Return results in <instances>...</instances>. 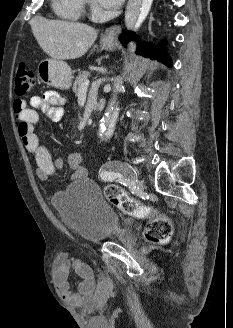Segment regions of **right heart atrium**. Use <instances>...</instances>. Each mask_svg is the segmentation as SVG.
<instances>
[{
  "label": "right heart atrium",
  "instance_id": "right-heart-atrium-1",
  "mask_svg": "<svg viewBox=\"0 0 233 328\" xmlns=\"http://www.w3.org/2000/svg\"><path fill=\"white\" fill-rule=\"evenodd\" d=\"M84 5L90 6L91 5V1L90 0H82Z\"/></svg>",
  "mask_w": 233,
  "mask_h": 328
}]
</instances>
